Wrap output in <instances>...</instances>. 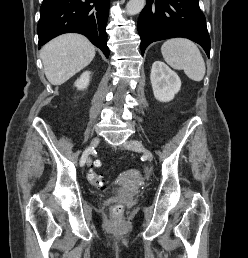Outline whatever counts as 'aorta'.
Masks as SVG:
<instances>
[{
	"mask_svg": "<svg viewBox=\"0 0 248 258\" xmlns=\"http://www.w3.org/2000/svg\"><path fill=\"white\" fill-rule=\"evenodd\" d=\"M146 0H129L126 5V12L128 15H136L141 12L145 6Z\"/></svg>",
	"mask_w": 248,
	"mask_h": 258,
	"instance_id": "762f6f07",
	"label": "aorta"
}]
</instances>
